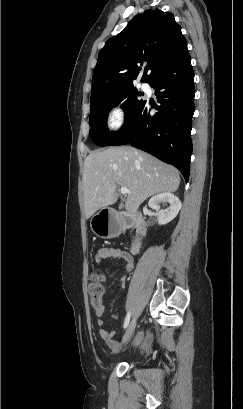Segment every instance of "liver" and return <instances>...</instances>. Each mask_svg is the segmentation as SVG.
I'll use <instances>...</instances> for the list:
<instances>
[{"instance_id":"liver-1","label":"liver","mask_w":243,"mask_h":409,"mask_svg":"<svg viewBox=\"0 0 243 409\" xmlns=\"http://www.w3.org/2000/svg\"><path fill=\"white\" fill-rule=\"evenodd\" d=\"M178 170L152 155L130 146L110 147L90 153L84 161L83 194L86 218L118 199V187H126L125 209L133 215L149 197L175 192Z\"/></svg>"}]
</instances>
